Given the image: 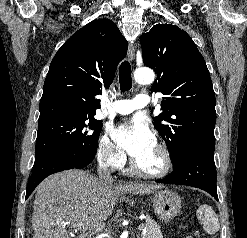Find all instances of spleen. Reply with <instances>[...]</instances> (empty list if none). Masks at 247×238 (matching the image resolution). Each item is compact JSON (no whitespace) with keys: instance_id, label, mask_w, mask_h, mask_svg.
<instances>
[{"instance_id":"1","label":"spleen","mask_w":247,"mask_h":238,"mask_svg":"<svg viewBox=\"0 0 247 238\" xmlns=\"http://www.w3.org/2000/svg\"><path fill=\"white\" fill-rule=\"evenodd\" d=\"M196 215L197 219L203 224L206 233L215 234L219 231V220L212 207L203 204L197 209Z\"/></svg>"}]
</instances>
